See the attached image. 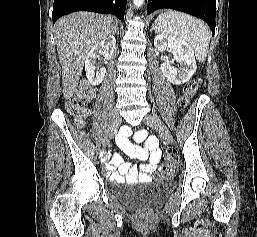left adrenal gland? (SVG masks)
Returning a JSON list of instances; mask_svg holds the SVG:
<instances>
[{
	"mask_svg": "<svg viewBox=\"0 0 257 237\" xmlns=\"http://www.w3.org/2000/svg\"><path fill=\"white\" fill-rule=\"evenodd\" d=\"M155 29V25H152L151 31Z\"/></svg>",
	"mask_w": 257,
	"mask_h": 237,
	"instance_id": "obj_1",
	"label": "left adrenal gland"
}]
</instances>
